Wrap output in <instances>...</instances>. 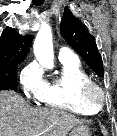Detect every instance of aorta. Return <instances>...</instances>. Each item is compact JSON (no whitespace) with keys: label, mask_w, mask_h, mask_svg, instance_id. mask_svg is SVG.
Returning <instances> with one entry per match:
<instances>
[{"label":"aorta","mask_w":117,"mask_h":136,"mask_svg":"<svg viewBox=\"0 0 117 136\" xmlns=\"http://www.w3.org/2000/svg\"><path fill=\"white\" fill-rule=\"evenodd\" d=\"M33 48L35 57L42 66L49 69L54 67L52 31L48 24H42L34 41Z\"/></svg>","instance_id":"aorta-1"}]
</instances>
